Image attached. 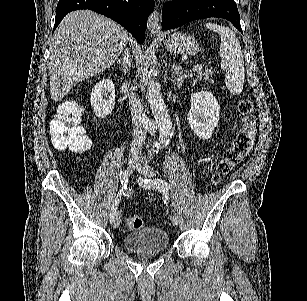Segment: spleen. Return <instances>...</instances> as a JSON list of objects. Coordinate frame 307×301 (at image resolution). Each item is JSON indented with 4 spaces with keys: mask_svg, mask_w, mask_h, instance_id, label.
I'll return each instance as SVG.
<instances>
[{
    "mask_svg": "<svg viewBox=\"0 0 307 301\" xmlns=\"http://www.w3.org/2000/svg\"><path fill=\"white\" fill-rule=\"evenodd\" d=\"M205 26L218 32L221 36L219 54L221 56V68L225 70L224 82L232 94H241L244 78V58L240 42L229 26H221L214 22H206Z\"/></svg>",
    "mask_w": 307,
    "mask_h": 301,
    "instance_id": "3e777b00",
    "label": "spleen"
}]
</instances>
